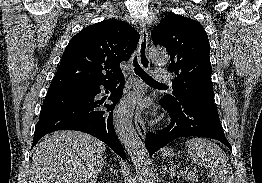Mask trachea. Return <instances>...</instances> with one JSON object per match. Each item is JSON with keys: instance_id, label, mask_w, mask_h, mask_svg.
Segmentation results:
<instances>
[{"instance_id": "obj_1", "label": "trachea", "mask_w": 262, "mask_h": 183, "mask_svg": "<svg viewBox=\"0 0 262 183\" xmlns=\"http://www.w3.org/2000/svg\"><path fill=\"white\" fill-rule=\"evenodd\" d=\"M133 66H134V71L136 75L140 76L147 84L149 85H160V86H166L162 83L157 82L154 80L151 76H149L138 64L137 62V57L133 59Z\"/></svg>"}]
</instances>
